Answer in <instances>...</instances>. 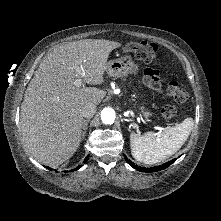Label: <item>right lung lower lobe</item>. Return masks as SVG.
<instances>
[{"instance_id": "1", "label": "right lung lower lobe", "mask_w": 221, "mask_h": 221, "mask_svg": "<svg viewBox=\"0 0 221 221\" xmlns=\"http://www.w3.org/2000/svg\"><path fill=\"white\" fill-rule=\"evenodd\" d=\"M88 158H89V155L84 159V162L83 163H86V161L88 160ZM82 167V165H80V166H78L77 168H75L73 171H75V170H78L79 168H81ZM49 170H52L51 168H49V167H47Z\"/></svg>"}]
</instances>
